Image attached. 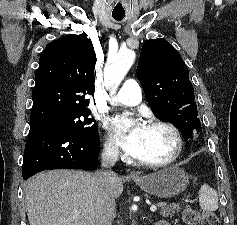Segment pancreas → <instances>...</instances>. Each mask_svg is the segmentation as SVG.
I'll return each mask as SVG.
<instances>
[{"label": "pancreas", "mask_w": 237, "mask_h": 225, "mask_svg": "<svg viewBox=\"0 0 237 225\" xmlns=\"http://www.w3.org/2000/svg\"><path fill=\"white\" fill-rule=\"evenodd\" d=\"M159 214L163 217H172L175 211L178 213L181 209L180 204H167L165 202L158 203Z\"/></svg>", "instance_id": "cf45deb5"}]
</instances>
